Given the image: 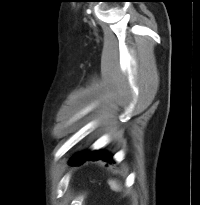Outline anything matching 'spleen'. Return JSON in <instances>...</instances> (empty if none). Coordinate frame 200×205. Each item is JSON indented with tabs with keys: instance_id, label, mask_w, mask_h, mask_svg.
<instances>
[{
	"instance_id": "3e777b00",
	"label": "spleen",
	"mask_w": 200,
	"mask_h": 205,
	"mask_svg": "<svg viewBox=\"0 0 200 205\" xmlns=\"http://www.w3.org/2000/svg\"><path fill=\"white\" fill-rule=\"evenodd\" d=\"M108 183H109L112 190H114V191L120 190V186L117 184V182L115 180H109Z\"/></svg>"
}]
</instances>
